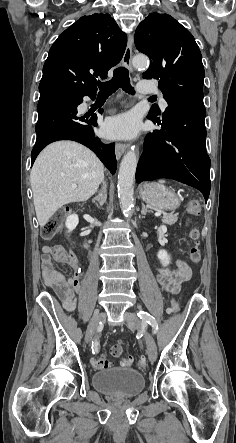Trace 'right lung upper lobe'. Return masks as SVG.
<instances>
[{
	"label": "right lung upper lobe",
	"mask_w": 236,
	"mask_h": 443,
	"mask_svg": "<svg viewBox=\"0 0 236 443\" xmlns=\"http://www.w3.org/2000/svg\"><path fill=\"white\" fill-rule=\"evenodd\" d=\"M126 44V34L109 14L81 17L50 48L40 93H96L95 77H107L108 70L122 59Z\"/></svg>",
	"instance_id": "obj_1"
}]
</instances>
